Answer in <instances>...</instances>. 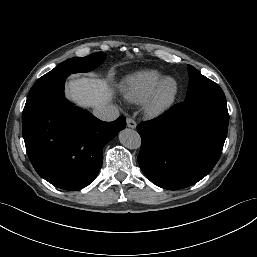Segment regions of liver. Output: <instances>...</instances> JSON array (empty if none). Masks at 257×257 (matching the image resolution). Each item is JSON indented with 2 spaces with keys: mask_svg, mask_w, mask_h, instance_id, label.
I'll return each mask as SVG.
<instances>
[{
  "mask_svg": "<svg viewBox=\"0 0 257 257\" xmlns=\"http://www.w3.org/2000/svg\"><path fill=\"white\" fill-rule=\"evenodd\" d=\"M66 96L80 107L98 108L111 102L113 91L104 79L80 77L69 81Z\"/></svg>",
  "mask_w": 257,
  "mask_h": 257,
  "instance_id": "liver-1",
  "label": "liver"
}]
</instances>
